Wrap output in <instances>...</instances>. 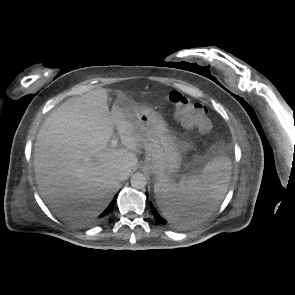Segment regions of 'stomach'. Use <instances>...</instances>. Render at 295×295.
Returning <instances> with one entry per match:
<instances>
[{
    "mask_svg": "<svg viewBox=\"0 0 295 295\" xmlns=\"http://www.w3.org/2000/svg\"><path fill=\"white\" fill-rule=\"evenodd\" d=\"M122 110L146 148L143 169L158 180L175 177L182 162V144L169 130L162 115L153 108L120 97Z\"/></svg>",
    "mask_w": 295,
    "mask_h": 295,
    "instance_id": "0dacf381",
    "label": "stomach"
}]
</instances>
